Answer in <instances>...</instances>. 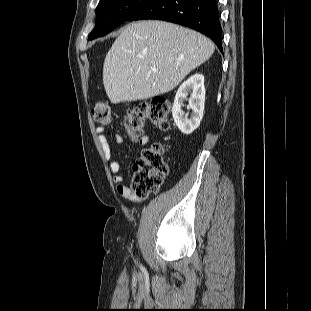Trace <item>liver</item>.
<instances>
[{
    "label": "liver",
    "mask_w": 311,
    "mask_h": 311,
    "mask_svg": "<svg viewBox=\"0 0 311 311\" xmlns=\"http://www.w3.org/2000/svg\"><path fill=\"white\" fill-rule=\"evenodd\" d=\"M214 49V43L206 36L172 23H131L124 27L105 57L106 94L117 104L167 93L208 60Z\"/></svg>",
    "instance_id": "obj_1"
}]
</instances>
